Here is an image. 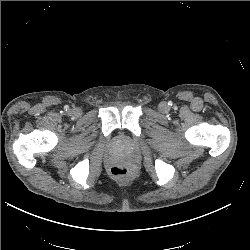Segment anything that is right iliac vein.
<instances>
[{
  "label": "right iliac vein",
  "mask_w": 250,
  "mask_h": 250,
  "mask_svg": "<svg viewBox=\"0 0 250 250\" xmlns=\"http://www.w3.org/2000/svg\"><path fill=\"white\" fill-rule=\"evenodd\" d=\"M81 113V111L79 109H74L70 111V114L72 116H78Z\"/></svg>",
  "instance_id": "1"
}]
</instances>
